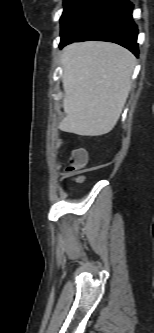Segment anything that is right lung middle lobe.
<instances>
[{
	"label": "right lung middle lobe",
	"mask_w": 154,
	"mask_h": 333,
	"mask_svg": "<svg viewBox=\"0 0 154 333\" xmlns=\"http://www.w3.org/2000/svg\"><path fill=\"white\" fill-rule=\"evenodd\" d=\"M101 0H64V11L61 16V39L70 35L79 27Z\"/></svg>",
	"instance_id": "obj_1"
}]
</instances>
